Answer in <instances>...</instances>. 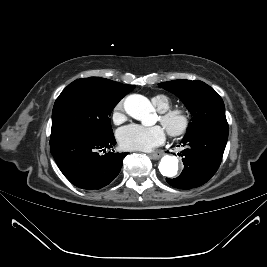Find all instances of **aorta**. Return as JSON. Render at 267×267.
<instances>
[{"label": "aorta", "instance_id": "aorta-1", "mask_svg": "<svg viewBox=\"0 0 267 267\" xmlns=\"http://www.w3.org/2000/svg\"><path fill=\"white\" fill-rule=\"evenodd\" d=\"M124 110L129 116L145 124L153 108L146 97L139 94H132L125 99ZM158 168L163 176L174 177L178 172V159L170 155H165L160 160Z\"/></svg>", "mask_w": 267, "mask_h": 267}]
</instances>
